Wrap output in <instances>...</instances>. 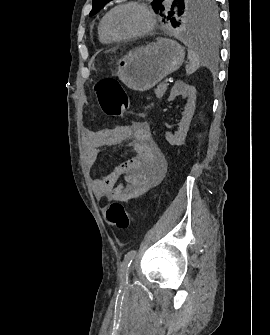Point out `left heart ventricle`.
I'll return each mask as SVG.
<instances>
[{
    "label": "left heart ventricle",
    "mask_w": 270,
    "mask_h": 335,
    "mask_svg": "<svg viewBox=\"0 0 270 335\" xmlns=\"http://www.w3.org/2000/svg\"><path fill=\"white\" fill-rule=\"evenodd\" d=\"M148 19L140 7L124 5L117 9L110 17V29L118 35H128L144 30ZM154 52V51H148Z\"/></svg>",
    "instance_id": "obj_1"
}]
</instances>
